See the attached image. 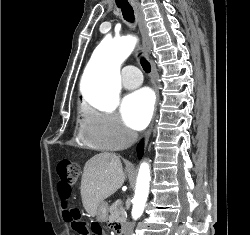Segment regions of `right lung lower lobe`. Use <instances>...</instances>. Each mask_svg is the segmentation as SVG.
<instances>
[{
  "label": "right lung lower lobe",
  "instance_id": "right-lung-lower-lobe-1",
  "mask_svg": "<svg viewBox=\"0 0 250 235\" xmlns=\"http://www.w3.org/2000/svg\"><path fill=\"white\" fill-rule=\"evenodd\" d=\"M138 157L141 158L143 155V142L140 143V145L138 146Z\"/></svg>",
  "mask_w": 250,
  "mask_h": 235
}]
</instances>
